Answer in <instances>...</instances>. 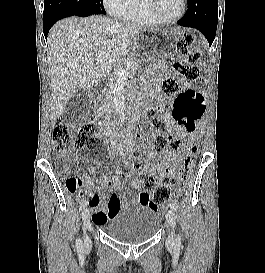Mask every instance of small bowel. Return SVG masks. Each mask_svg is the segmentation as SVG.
<instances>
[{
	"label": "small bowel",
	"instance_id": "obj_1",
	"mask_svg": "<svg viewBox=\"0 0 265 273\" xmlns=\"http://www.w3.org/2000/svg\"><path fill=\"white\" fill-rule=\"evenodd\" d=\"M180 61H184L181 57ZM164 123L166 125L164 132L167 136L173 138L175 136H183V127H177L175 131L171 129L170 118L165 117ZM113 152L117 155L125 156L130 158L132 153L131 146H124L121 148L114 147ZM148 157L152 160H155L154 163H141L140 171L143 175L152 174L157 176L159 179L164 178L167 175L173 173L175 166L178 164L180 159V154L177 150L165 149L160 155L151 150L148 151ZM123 172V169L120 166H116L111 175L105 176L100 179V183L108 185L112 188V196L108 204H104L101 200V197L97 193L91 192L93 183L91 181H84L85 191L80 196L84 199V202L87 203L90 207L93 208V223L97 227H102L109 218H111L119 210L126 208V202L121 201L122 191L120 189V176ZM132 186L135 189V199L133 200L134 204H150L151 195L149 190H140L141 188V179L134 177L132 181ZM86 195V197H85Z\"/></svg>",
	"mask_w": 265,
	"mask_h": 273
}]
</instances>
